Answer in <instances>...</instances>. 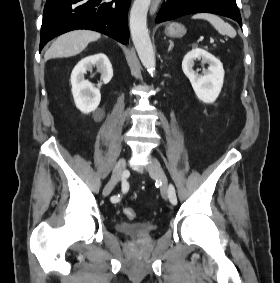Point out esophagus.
I'll list each match as a JSON object with an SVG mask.
<instances>
[{"instance_id":"34e87169","label":"esophagus","mask_w":280,"mask_h":283,"mask_svg":"<svg viewBox=\"0 0 280 283\" xmlns=\"http://www.w3.org/2000/svg\"><path fill=\"white\" fill-rule=\"evenodd\" d=\"M159 4H160V0H152L151 1V6H150V14L151 15H153L157 11Z\"/></svg>"}]
</instances>
